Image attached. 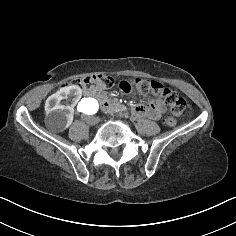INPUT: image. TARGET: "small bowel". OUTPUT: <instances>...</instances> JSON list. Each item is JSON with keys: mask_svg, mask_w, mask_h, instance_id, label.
<instances>
[{"mask_svg": "<svg viewBox=\"0 0 236 236\" xmlns=\"http://www.w3.org/2000/svg\"><path fill=\"white\" fill-rule=\"evenodd\" d=\"M165 111L164 103L160 100H155L147 105H135L133 113L137 117H147L152 120H159Z\"/></svg>", "mask_w": 236, "mask_h": 236, "instance_id": "small-bowel-1", "label": "small bowel"}]
</instances>
